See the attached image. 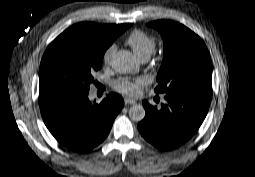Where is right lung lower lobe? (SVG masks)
I'll return each instance as SVG.
<instances>
[{"label":"right lung lower lobe","mask_w":255,"mask_h":177,"mask_svg":"<svg viewBox=\"0 0 255 177\" xmlns=\"http://www.w3.org/2000/svg\"><path fill=\"white\" fill-rule=\"evenodd\" d=\"M88 93L54 90L39 94L41 114L49 131L62 145L78 152L103 142L124 106L119 94L111 93L101 103L92 104Z\"/></svg>","instance_id":"98d812e1"}]
</instances>
